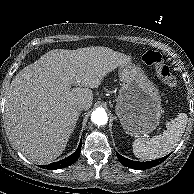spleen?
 I'll return each mask as SVG.
<instances>
[{"label":"spleen","instance_id":"spleen-1","mask_svg":"<svg viewBox=\"0 0 194 194\" xmlns=\"http://www.w3.org/2000/svg\"><path fill=\"white\" fill-rule=\"evenodd\" d=\"M188 116L179 113L177 117L166 124V130L151 139L139 137L133 142V153L141 160H153L170 153L178 145L185 131Z\"/></svg>","mask_w":194,"mask_h":194}]
</instances>
